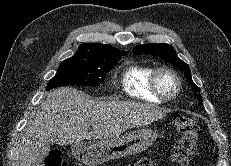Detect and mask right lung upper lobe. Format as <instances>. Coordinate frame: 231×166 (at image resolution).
<instances>
[{
	"label": "right lung upper lobe",
	"instance_id": "right-lung-upper-lobe-1",
	"mask_svg": "<svg viewBox=\"0 0 231 166\" xmlns=\"http://www.w3.org/2000/svg\"><path fill=\"white\" fill-rule=\"evenodd\" d=\"M120 53L126 52L116 49L111 45H104L101 43H86L79 46L74 56L93 57L95 59L106 55H114Z\"/></svg>",
	"mask_w": 231,
	"mask_h": 166
}]
</instances>
